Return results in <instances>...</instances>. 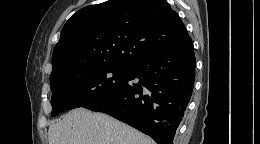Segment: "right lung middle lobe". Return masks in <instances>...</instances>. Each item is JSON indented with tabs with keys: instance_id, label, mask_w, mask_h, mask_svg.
<instances>
[{
	"instance_id": "obj_1",
	"label": "right lung middle lobe",
	"mask_w": 260,
	"mask_h": 144,
	"mask_svg": "<svg viewBox=\"0 0 260 144\" xmlns=\"http://www.w3.org/2000/svg\"><path fill=\"white\" fill-rule=\"evenodd\" d=\"M127 73L128 67L98 65L52 76V116L109 97L124 85Z\"/></svg>"
}]
</instances>
